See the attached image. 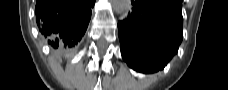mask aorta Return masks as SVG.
Listing matches in <instances>:
<instances>
[{"label": "aorta", "instance_id": "obj_1", "mask_svg": "<svg viewBox=\"0 0 228 90\" xmlns=\"http://www.w3.org/2000/svg\"><path fill=\"white\" fill-rule=\"evenodd\" d=\"M112 6L114 11L119 15H127L130 10L129 0H112Z\"/></svg>", "mask_w": 228, "mask_h": 90}]
</instances>
